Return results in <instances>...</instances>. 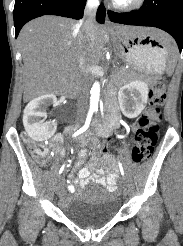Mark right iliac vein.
<instances>
[{
    "instance_id": "63e3f726",
    "label": "right iliac vein",
    "mask_w": 183,
    "mask_h": 246,
    "mask_svg": "<svg viewBox=\"0 0 183 246\" xmlns=\"http://www.w3.org/2000/svg\"><path fill=\"white\" fill-rule=\"evenodd\" d=\"M61 183H62V178L59 179V181H58V183H57V185H56V187H55V191H56V192L59 191V189H60V187H61Z\"/></svg>"
}]
</instances>
